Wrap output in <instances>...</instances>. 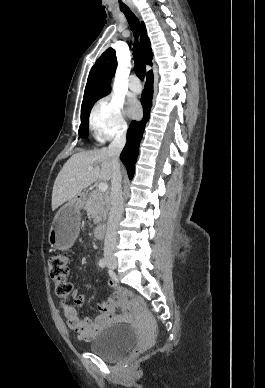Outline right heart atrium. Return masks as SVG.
Returning <instances> with one entry per match:
<instances>
[{"mask_svg":"<svg viewBox=\"0 0 265 388\" xmlns=\"http://www.w3.org/2000/svg\"><path fill=\"white\" fill-rule=\"evenodd\" d=\"M92 121L98 138L109 139L125 126L122 101L114 96L99 100L94 106Z\"/></svg>","mask_w":265,"mask_h":388,"instance_id":"right-heart-atrium-1","label":"right heart atrium"}]
</instances>
